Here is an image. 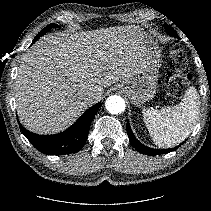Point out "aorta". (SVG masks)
<instances>
[{"mask_svg": "<svg viewBox=\"0 0 211 211\" xmlns=\"http://www.w3.org/2000/svg\"><path fill=\"white\" fill-rule=\"evenodd\" d=\"M105 107L107 111L111 114H119L125 110V101L122 97L117 95H112L107 98L105 102Z\"/></svg>", "mask_w": 211, "mask_h": 211, "instance_id": "obj_1", "label": "aorta"}]
</instances>
